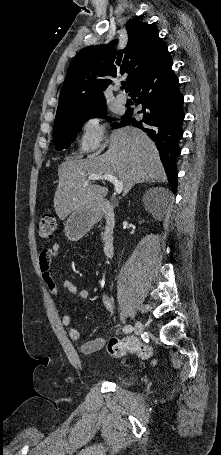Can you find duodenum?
Wrapping results in <instances>:
<instances>
[{
	"label": "duodenum",
	"instance_id": "duodenum-1",
	"mask_svg": "<svg viewBox=\"0 0 221 455\" xmlns=\"http://www.w3.org/2000/svg\"><path fill=\"white\" fill-rule=\"evenodd\" d=\"M98 214L99 217L103 218L106 223L103 253L106 258H111L114 254L115 248L112 236L115 225V215L112 205L109 202H102L98 207Z\"/></svg>",
	"mask_w": 221,
	"mask_h": 455
}]
</instances>
